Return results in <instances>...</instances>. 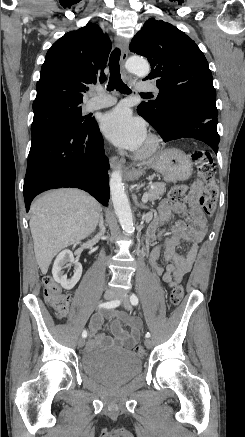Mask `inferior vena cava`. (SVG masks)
Segmentation results:
<instances>
[{"instance_id":"602c4592","label":"inferior vena cava","mask_w":245,"mask_h":437,"mask_svg":"<svg viewBox=\"0 0 245 437\" xmlns=\"http://www.w3.org/2000/svg\"><path fill=\"white\" fill-rule=\"evenodd\" d=\"M100 228L101 230H104L103 221L102 222L100 221Z\"/></svg>"}]
</instances>
